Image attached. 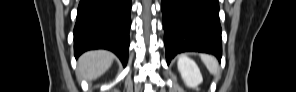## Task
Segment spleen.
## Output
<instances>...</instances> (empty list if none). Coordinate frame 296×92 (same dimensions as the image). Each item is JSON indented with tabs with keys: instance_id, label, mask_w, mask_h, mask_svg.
<instances>
[{
	"instance_id": "obj_1",
	"label": "spleen",
	"mask_w": 296,
	"mask_h": 92,
	"mask_svg": "<svg viewBox=\"0 0 296 92\" xmlns=\"http://www.w3.org/2000/svg\"><path fill=\"white\" fill-rule=\"evenodd\" d=\"M201 59L211 74L215 75L218 72L219 70L218 62L214 57L210 55L202 54Z\"/></svg>"
}]
</instances>
